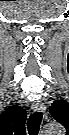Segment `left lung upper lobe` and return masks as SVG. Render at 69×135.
<instances>
[{"mask_svg": "<svg viewBox=\"0 0 69 135\" xmlns=\"http://www.w3.org/2000/svg\"><path fill=\"white\" fill-rule=\"evenodd\" d=\"M50 113L58 122L65 124L69 116V104L64 101H55L49 108Z\"/></svg>", "mask_w": 69, "mask_h": 135, "instance_id": "left-lung-upper-lobe-1", "label": "left lung upper lobe"}]
</instances>
